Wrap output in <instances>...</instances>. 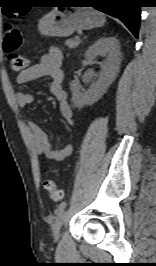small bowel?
I'll return each instance as SVG.
<instances>
[{"label":"small bowel","mask_w":156,"mask_h":266,"mask_svg":"<svg viewBox=\"0 0 156 266\" xmlns=\"http://www.w3.org/2000/svg\"><path fill=\"white\" fill-rule=\"evenodd\" d=\"M63 54L60 49L52 47L43 55L40 61L24 71L16 78L18 84H26L41 77L50 78V91L59 101L60 113L64 121L71 125L73 123V112L67 102V92L63 88ZM18 106L25 107L33 102V96L27 91H19L16 94ZM31 138L35 145L36 153L46 159L60 161L69 156L73 151V144L67 143L60 149H54L47 133L36 121L28 123Z\"/></svg>","instance_id":"1"}]
</instances>
